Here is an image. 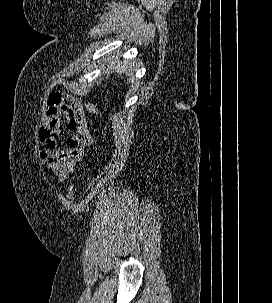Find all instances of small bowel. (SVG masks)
I'll use <instances>...</instances> for the list:
<instances>
[{
	"mask_svg": "<svg viewBox=\"0 0 272 303\" xmlns=\"http://www.w3.org/2000/svg\"><path fill=\"white\" fill-rule=\"evenodd\" d=\"M65 135V144L59 146ZM37 136L43 164L59 181L67 180L93 142L82 101L60 92L50 94Z\"/></svg>",
	"mask_w": 272,
	"mask_h": 303,
	"instance_id": "obj_1",
	"label": "small bowel"
}]
</instances>
